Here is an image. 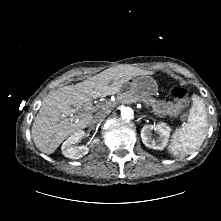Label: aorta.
I'll return each instance as SVG.
<instances>
[{"instance_id":"762f6f07","label":"aorta","mask_w":221,"mask_h":221,"mask_svg":"<svg viewBox=\"0 0 221 221\" xmlns=\"http://www.w3.org/2000/svg\"><path fill=\"white\" fill-rule=\"evenodd\" d=\"M134 112L130 107H124L121 110V117L125 120L133 119Z\"/></svg>"}]
</instances>
